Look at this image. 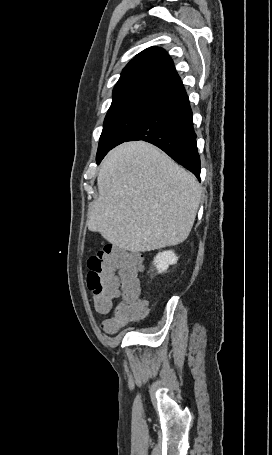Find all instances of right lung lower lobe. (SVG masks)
<instances>
[{
    "instance_id": "1",
    "label": "right lung lower lobe",
    "mask_w": 272,
    "mask_h": 455,
    "mask_svg": "<svg viewBox=\"0 0 272 455\" xmlns=\"http://www.w3.org/2000/svg\"><path fill=\"white\" fill-rule=\"evenodd\" d=\"M133 140H144L156 145L200 180V158L193 130L192 110L186 93L131 127L110 149Z\"/></svg>"
}]
</instances>
